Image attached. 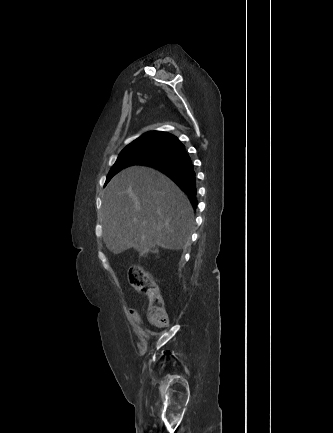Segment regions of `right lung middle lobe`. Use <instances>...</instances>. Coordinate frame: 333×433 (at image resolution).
I'll list each match as a JSON object with an SVG mask.
<instances>
[{
  "instance_id": "right-lung-middle-lobe-1",
  "label": "right lung middle lobe",
  "mask_w": 333,
  "mask_h": 433,
  "mask_svg": "<svg viewBox=\"0 0 333 433\" xmlns=\"http://www.w3.org/2000/svg\"><path fill=\"white\" fill-rule=\"evenodd\" d=\"M172 150L155 141L142 142L125 147L108 173L105 185L110 179L125 167L142 165L168 155Z\"/></svg>"
}]
</instances>
